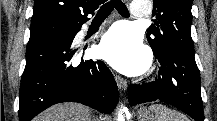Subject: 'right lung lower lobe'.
Here are the masks:
<instances>
[{
  "label": "right lung lower lobe",
  "mask_w": 217,
  "mask_h": 121,
  "mask_svg": "<svg viewBox=\"0 0 217 121\" xmlns=\"http://www.w3.org/2000/svg\"><path fill=\"white\" fill-rule=\"evenodd\" d=\"M82 24L70 34L29 40L19 93L20 121H30L61 102H79L103 113L116 107L119 93L107 66L100 60L77 58L79 48L73 39Z\"/></svg>",
  "instance_id": "right-lung-lower-lobe-1"
}]
</instances>
